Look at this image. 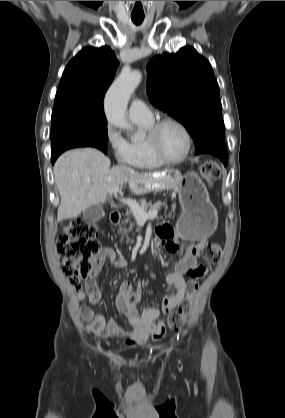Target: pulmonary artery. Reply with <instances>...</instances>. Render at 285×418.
I'll use <instances>...</instances> for the list:
<instances>
[{
	"mask_svg": "<svg viewBox=\"0 0 285 418\" xmlns=\"http://www.w3.org/2000/svg\"><path fill=\"white\" fill-rule=\"evenodd\" d=\"M129 117L133 121L150 122L152 121V112L148 106L141 100L132 101L129 107Z\"/></svg>",
	"mask_w": 285,
	"mask_h": 418,
	"instance_id": "pulmonary-artery-1",
	"label": "pulmonary artery"
}]
</instances>
